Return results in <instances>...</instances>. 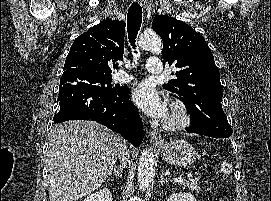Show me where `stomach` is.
<instances>
[{"label":"stomach","instance_id":"1","mask_svg":"<svg viewBox=\"0 0 271 201\" xmlns=\"http://www.w3.org/2000/svg\"><path fill=\"white\" fill-rule=\"evenodd\" d=\"M162 158L171 165L186 167L197 159V152L186 140H174L160 146Z\"/></svg>","mask_w":271,"mask_h":201}]
</instances>
